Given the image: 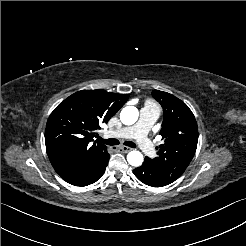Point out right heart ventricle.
<instances>
[{"label": "right heart ventricle", "instance_id": "e07e8e85", "mask_svg": "<svg viewBox=\"0 0 246 246\" xmlns=\"http://www.w3.org/2000/svg\"><path fill=\"white\" fill-rule=\"evenodd\" d=\"M144 107H156V104L152 100H146Z\"/></svg>", "mask_w": 246, "mask_h": 246}]
</instances>
